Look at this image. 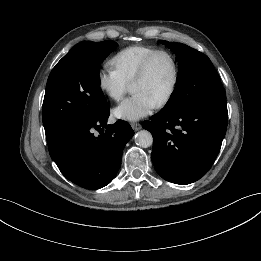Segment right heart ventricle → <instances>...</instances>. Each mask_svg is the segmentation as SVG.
I'll list each match as a JSON object with an SVG mask.
<instances>
[{"label": "right heart ventricle", "mask_w": 261, "mask_h": 261, "mask_svg": "<svg viewBox=\"0 0 261 261\" xmlns=\"http://www.w3.org/2000/svg\"><path fill=\"white\" fill-rule=\"evenodd\" d=\"M158 50L147 45H132L118 51L110 60L109 65L126 83L130 84L144 60Z\"/></svg>", "instance_id": "obj_1"}]
</instances>
